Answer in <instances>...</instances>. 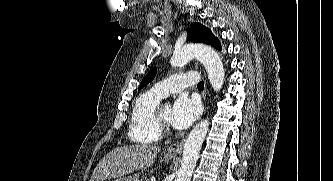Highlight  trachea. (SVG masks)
Masks as SVG:
<instances>
[{
	"instance_id": "trachea-1",
	"label": "trachea",
	"mask_w": 333,
	"mask_h": 181,
	"mask_svg": "<svg viewBox=\"0 0 333 181\" xmlns=\"http://www.w3.org/2000/svg\"><path fill=\"white\" fill-rule=\"evenodd\" d=\"M197 87H198L199 90H203L204 89V82L203 81L199 82Z\"/></svg>"
}]
</instances>
